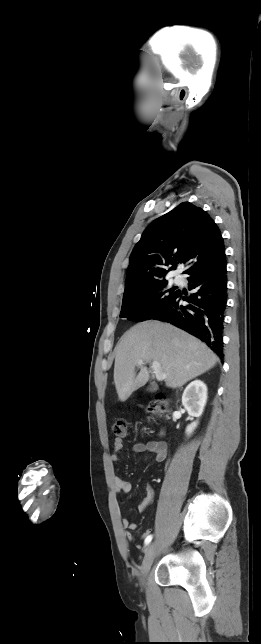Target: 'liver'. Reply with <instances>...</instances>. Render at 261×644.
Masks as SVG:
<instances>
[{"label": "liver", "mask_w": 261, "mask_h": 644, "mask_svg": "<svg viewBox=\"0 0 261 644\" xmlns=\"http://www.w3.org/2000/svg\"><path fill=\"white\" fill-rule=\"evenodd\" d=\"M143 364L157 361L166 374L165 384L177 388L213 368L217 356L204 343L170 324L150 320L134 325L116 347L114 383L120 401H126L149 380Z\"/></svg>", "instance_id": "obj_1"}]
</instances>
